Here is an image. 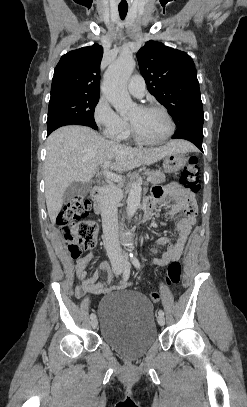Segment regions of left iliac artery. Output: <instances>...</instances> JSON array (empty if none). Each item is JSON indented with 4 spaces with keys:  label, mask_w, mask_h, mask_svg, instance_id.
I'll return each instance as SVG.
<instances>
[{
    "label": "left iliac artery",
    "mask_w": 247,
    "mask_h": 407,
    "mask_svg": "<svg viewBox=\"0 0 247 407\" xmlns=\"http://www.w3.org/2000/svg\"><path fill=\"white\" fill-rule=\"evenodd\" d=\"M131 261H132V264H133L137 269H140V262H139V260H138L135 256H133V255L131 256ZM158 314L164 316L163 310H159Z\"/></svg>",
    "instance_id": "44dca946"
}]
</instances>
